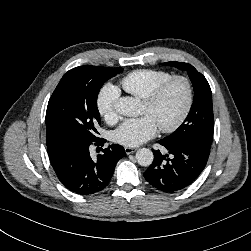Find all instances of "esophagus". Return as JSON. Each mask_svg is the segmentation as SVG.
I'll use <instances>...</instances> for the list:
<instances>
[{
	"instance_id": "34e87169",
	"label": "esophagus",
	"mask_w": 251,
	"mask_h": 251,
	"mask_svg": "<svg viewBox=\"0 0 251 251\" xmlns=\"http://www.w3.org/2000/svg\"><path fill=\"white\" fill-rule=\"evenodd\" d=\"M136 151V149L135 148H131V147H126L125 148V152H126V154H132V153H134Z\"/></svg>"
}]
</instances>
